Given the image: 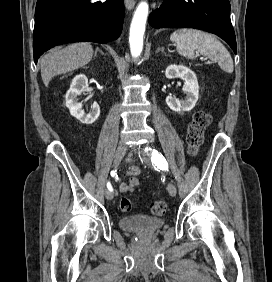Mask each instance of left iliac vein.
Masks as SVG:
<instances>
[{"instance_id": "left-iliac-vein-1", "label": "left iliac vein", "mask_w": 272, "mask_h": 282, "mask_svg": "<svg viewBox=\"0 0 272 282\" xmlns=\"http://www.w3.org/2000/svg\"><path fill=\"white\" fill-rule=\"evenodd\" d=\"M133 151L135 153H137L139 156H141L142 158V161L148 165V166H152V163L151 161L145 156L147 153H148V150L147 149H144L142 150L139 146H133ZM167 191L168 193L171 195V196H176L177 194V189H176V186L172 183V182H169L167 184Z\"/></svg>"}]
</instances>
